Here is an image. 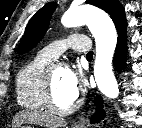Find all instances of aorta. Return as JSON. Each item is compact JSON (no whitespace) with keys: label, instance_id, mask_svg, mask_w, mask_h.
<instances>
[{"label":"aorta","instance_id":"aorta-1","mask_svg":"<svg viewBox=\"0 0 142 128\" xmlns=\"http://www.w3.org/2000/svg\"><path fill=\"white\" fill-rule=\"evenodd\" d=\"M61 22L65 27L88 26L96 43L94 76L97 86L106 97L117 98L119 88L112 68L117 31L111 18L99 10L81 6L67 10Z\"/></svg>","mask_w":142,"mask_h":128}]
</instances>
